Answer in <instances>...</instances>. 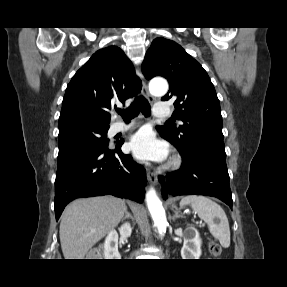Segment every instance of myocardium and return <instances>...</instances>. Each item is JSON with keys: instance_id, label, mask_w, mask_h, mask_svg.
<instances>
[{"instance_id": "myocardium-1", "label": "myocardium", "mask_w": 287, "mask_h": 287, "mask_svg": "<svg viewBox=\"0 0 287 287\" xmlns=\"http://www.w3.org/2000/svg\"><path fill=\"white\" fill-rule=\"evenodd\" d=\"M182 160L179 156H174L170 162V167L172 169H177L181 166Z\"/></svg>"}]
</instances>
